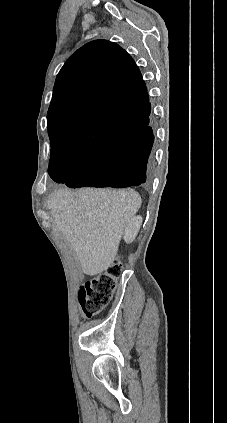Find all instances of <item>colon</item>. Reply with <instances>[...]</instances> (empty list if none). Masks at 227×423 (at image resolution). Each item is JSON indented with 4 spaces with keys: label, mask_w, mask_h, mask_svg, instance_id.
Segmentation results:
<instances>
[{
    "label": "colon",
    "mask_w": 227,
    "mask_h": 423,
    "mask_svg": "<svg viewBox=\"0 0 227 423\" xmlns=\"http://www.w3.org/2000/svg\"><path fill=\"white\" fill-rule=\"evenodd\" d=\"M120 261H115L104 272L86 281L79 291L81 314L90 318L100 313L108 304L121 274Z\"/></svg>",
    "instance_id": "5ec220e1"
}]
</instances>
